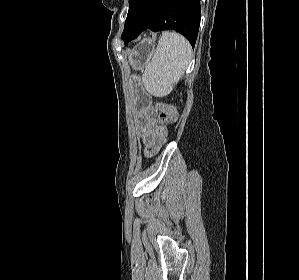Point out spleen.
<instances>
[{"label":"spleen","instance_id":"obj_1","mask_svg":"<svg viewBox=\"0 0 299 280\" xmlns=\"http://www.w3.org/2000/svg\"><path fill=\"white\" fill-rule=\"evenodd\" d=\"M192 56L189 42L175 32H164L142 75L145 89L153 96L171 93Z\"/></svg>","mask_w":299,"mask_h":280}]
</instances>
